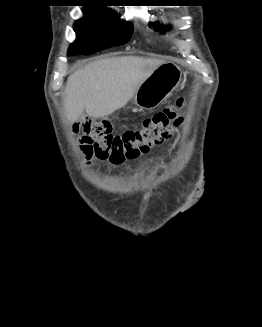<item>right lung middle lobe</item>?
<instances>
[{"mask_svg":"<svg viewBox=\"0 0 262 327\" xmlns=\"http://www.w3.org/2000/svg\"><path fill=\"white\" fill-rule=\"evenodd\" d=\"M84 18L74 23L77 39L68 49V56L89 55L102 49L128 42L133 34L131 23L115 13L83 10Z\"/></svg>","mask_w":262,"mask_h":327,"instance_id":"obj_1","label":"right lung middle lobe"}]
</instances>
